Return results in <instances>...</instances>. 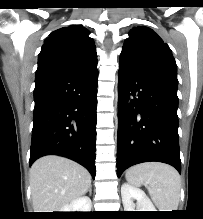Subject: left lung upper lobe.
Returning a JSON list of instances; mask_svg holds the SVG:
<instances>
[{
    "instance_id": "5c2ea615",
    "label": "left lung upper lobe",
    "mask_w": 203,
    "mask_h": 219,
    "mask_svg": "<svg viewBox=\"0 0 203 219\" xmlns=\"http://www.w3.org/2000/svg\"><path fill=\"white\" fill-rule=\"evenodd\" d=\"M120 62L175 83L177 65L169 46L148 27H134L125 40Z\"/></svg>"
}]
</instances>
